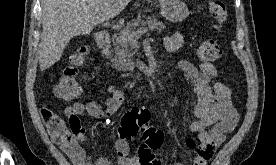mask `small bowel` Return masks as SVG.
I'll use <instances>...</instances> for the list:
<instances>
[{
  "label": "small bowel",
  "instance_id": "small-bowel-1",
  "mask_svg": "<svg viewBox=\"0 0 276 165\" xmlns=\"http://www.w3.org/2000/svg\"><path fill=\"white\" fill-rule=\"evenodd\" d=\"M183 44L182 33H175L165 38V47L169 52L177 51ZM177 66L192 83L194 92L193 118L189 122V128L198 135L201 144L197 149L193 165H207L215 149L224 141L226 134L235 128L239 115L232 105L231 91L227 85L217 79L218 69L213 63L202 62L199 66H195L189 61L180 60ZM106 92L109 97L104 106L96 101L75 102L64 110L69 125L77 126L78 132L74 142L58 144L73 165H112V161L105 157L92 160L81 145L86 139V130L81 125V118L87 114L108 126L124 101L122 90L116 86H108ZM42 107L43 110L40 112L50 133V123L45 113L52 111ZM114 149L118 165H162L153 152L142 154L138 151L135 157L129 156L127 140L118 139ZM172 165L184 164L177 162Z\"/></svg>",
  "mask_w": 276,
  "mask_h": 165
}]
</instances>
